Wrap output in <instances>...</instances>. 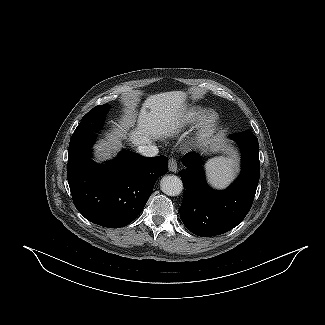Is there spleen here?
Masks as SVG:
<instances>
[{
  "label": "spleen",
  "instance_id": "3e777b00",
  "mask_svg": "<svg viewBox=\"0 0 325 325\" xmlns=\"http://www.w3.org/2000/svg\"><path fill=\"white\" fill-rule=\"evenodd\" d=\"M236 163L228 156L214 157L205 165L208 182L215 188L226 187L235 176Z\"/></svg>",
  "mask_w": 325,
  "mask_h": 325
}]
</instances>
